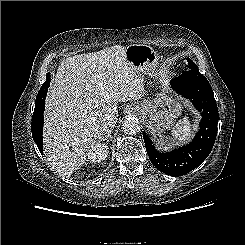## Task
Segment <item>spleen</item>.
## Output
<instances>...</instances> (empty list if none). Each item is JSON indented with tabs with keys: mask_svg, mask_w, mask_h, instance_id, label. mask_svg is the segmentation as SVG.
Returning <instances> with one entry per match:
<instances>
[{
	"mask_svg": "<svg viewBox=\"0 0 245 245\" xmlns=\"http://www.w3.org/2000/svg\"><path fill=\"white\" fill-rule=\"evenodd\" d=\"M192 134L193 124L188 116H185L183 119L179 120L172 129V136L179 143H183L186 140H189Z\"/></svg>",
	"mask_w": 245,
	"mask_h": 245,
	"instance_id": "3e777b00",
	"label": "spleen"
}]
</instances>
